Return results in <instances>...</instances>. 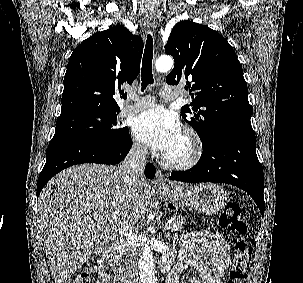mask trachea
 Listing matches in <instances>:
<instances>
[{"label": "trachea", "mask_w": 303, "mask_h": 283, "mask_svg": "<svg viewBox=\"0 0 303 283\" xmlns=\"http://www.w3.org/2000/svg\"><path fill=\"white\" fill-rule=\"evenodd\" d=\"M152 60H153V39L150 34L147 36V41L145 45L143 60H142V69H141V91L149 85L154 83L153 74H152Z\"/></svg>", "instance_id": "trachea-1"}]
</instances>
